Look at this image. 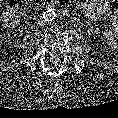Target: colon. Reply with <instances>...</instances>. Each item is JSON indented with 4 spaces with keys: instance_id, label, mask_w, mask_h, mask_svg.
<instances>
[{
    "instance_id": "1",
    "label": "colon",
    "mask_w": 118,
    "mask_h": 118,
    "mask_svg": "<svg viewBox=\"0 0 118 118\" xmlns=\"http://www.w3.org/2000/svg\"><path fill=\"white\" fill-rule=\"evenodd\" d=\"M23 15V6L19 0H13L8 5L6 12L4 14V24L7 27L16 26Z\"/></svg>"
}]
</instances>
